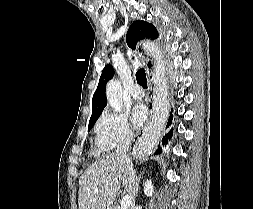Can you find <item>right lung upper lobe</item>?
Here are the masks:
<instances>
[{
    "instance_id": "obj_1",
    "label": "right lung upper lobe",
    "mask_w": 253,
    "mask_h": 209,
    "mask_svg": "<svg viewBox=\"0 0 253 209\" xmlns=\"http://www.w3.org/2000/svg\"><path fill=\"white\" fill-rule=\"evenodd\" d=\"M151 39L154 40L158 38V31L154 25L147 23L145 21H135L129 27L126 35V41L130 48L136 49V44L141 39ZM114 76V69L111 65L105 66L99 79L97 89L93 95L92 99V115L91 119H98L102 110L107 105V99L105 95V87L107 82Z\"/></svg>"
}]
</instances>
